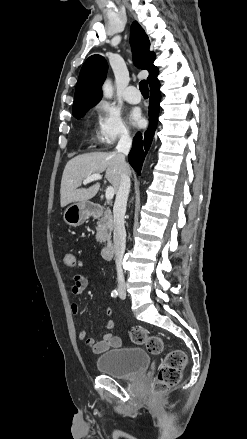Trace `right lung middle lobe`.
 <instances>
[{
    "instance_id": "right-lung-middle-lobe-1",
    "label": "right lung middle lobe",
    "mask_w": 247,
    "mask_h": 439,
    "mask_svg": "<svg viewBox=\"0 0 247 439\" xmlns=\"http://www.w3.org/2000/svg\"><path fill=\"white\" fill-rule=\"evenodd\" d=\"M87 111H88V110H84V111L78 112V113L73 114V115H74L77 119H79V118L83 117Z\"/></svg>"
}]
</instances>
